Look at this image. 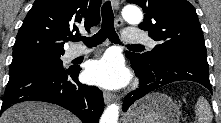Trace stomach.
I'll return each instance as SVG.
<instances>
[{
  "instance_id": "stomach-1",
  "label": "stomach",
  "mask_w": 221,
  "mask_h": 123,
  "mask_svg": "<svg viewBox=\"0 0 221 123\" xmlns=\"http://www.w3.org/2000/svg\"><path fill=\"white\" fill-rule=\"evenodd\" d=\"M180 114L174 100L154 92L137 100L128 110L123 123H178Z\"/></svg>"
}]
</instances>
